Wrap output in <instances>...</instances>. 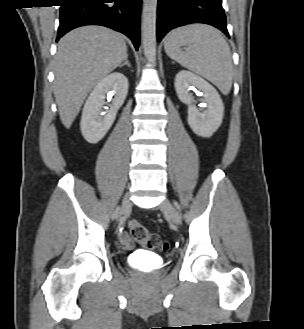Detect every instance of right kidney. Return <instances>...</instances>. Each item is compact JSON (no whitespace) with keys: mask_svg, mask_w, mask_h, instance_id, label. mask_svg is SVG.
I'll return each mask as SVG.
<instances>
[{"mask_svg":"<svg viewBox=\"0 0 304 329\" xmlns=\"http://www.w3.org/2000/svg\"><path fill=\"white\" fill-rule=\"evenodd\" d=\"M128 93V79L114 72L102 79L91 92L82 112L80 128L89 143L99 142L112 126L118 109L123 105ZM106 95H114L110 109L102 113Z\"/></svg>","mask_w":304,"mask_h":329,"instance_id":"1","label":"right kidney"}]
</instances>
